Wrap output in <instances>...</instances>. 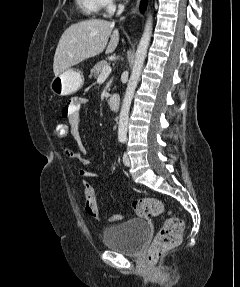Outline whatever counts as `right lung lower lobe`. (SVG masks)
<instances>
[{
	"label": "right lung lower lobe",
	"mask_w": 240,
	"mask_h": 287,
	"mask_svg": "<svg viewBox=\"0 0 240 287\" xmlns=\"http://www.w3.org/2000/svg\"><path fill=\"white\" fill-rule=\"evenodd\" d=\"M147 0H142L141 1V11H144L146 8Z\"/></svg>",
	"instance_id": "1"
}]
</instances>
